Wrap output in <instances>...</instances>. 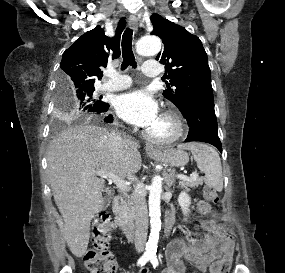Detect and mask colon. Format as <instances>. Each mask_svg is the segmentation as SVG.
<instances>
[{"instance_id":"colon-1","label":"colon","mask_w":285,"mask_h":273,"mask_svg":"<svg viewBox=\"0 0 285 273\" xmlns=\"http://www.w3.org/2000/svg\"><path fill=\"white\" fill-rule=\"evenodd\" d=\"M204 196L212 203L219 202L218 192L213 187H205ZM112 237L110 220L107 218L98 219L92 232V248L87 250L83 256L89 273H115L116 263L108 251Z\"/></svg>"}]
</instances>
